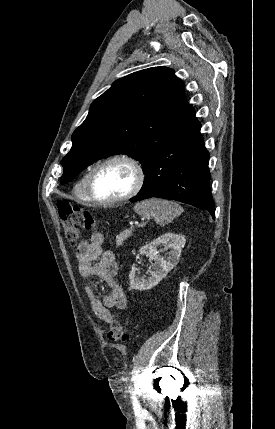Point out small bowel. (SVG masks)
Listing matches in <instances>:
<instances>
[{"mask_svg":"<svg viewBox=\"0 0 275 429\" xmlns=\"http://www.w3.org/2000/svg\"><path fill=\"white\" fill-rule=\"evenodd\" d=\"M103 236L92 234L89 241H82L76 249L79 273L86 279L85 291L91 307L97 317L110 322L113 319L111 308L125 309L127 297L116 280L118 266L114 253L103 250ZM102 279L108 286V292L101 296L93 285V278Z\"/></svg>","mask_w":275,"mask_h":429,"instance_id":"c3829d8e","label":"small bowel"}]
</instances>
